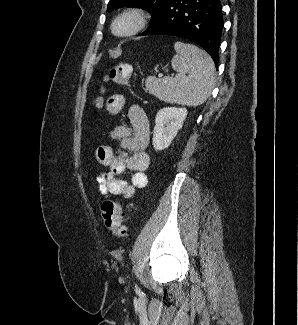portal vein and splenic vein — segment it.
Returning <instances> with one entry per match:
<instances>
[{"instance_id": "1", "label": "portal vein and splenic vein", "mask_w": 298, "mask_h": 325, "mask_svg": "<svg viewBox=\"0 0 298 325\" xmlns=\"http://www.w3.org/2000/svg\"><path fill=\"white\" fill-rule=\"evenodd\" d=\"M158 76H163V74H160V72H159Z\"/></svg>"}]
</instances>
